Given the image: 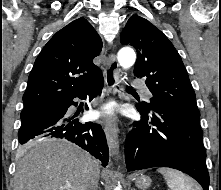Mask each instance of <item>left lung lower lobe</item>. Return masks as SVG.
Segmentation results:
<instances>
[{
	"label": "left lung lower lobe",
	"instance_id": "0a47b994",
	"mask_svg": "<svg viewBox=\"0 0 221 190\" xmlns=\"http://www.w3.org/2000/svg\"><path fill=\"white\" fill-rule=\"evenodd\" d=\"M141 120L125 140V162L128 171L151 167L180 170L209 189V173L199 122L175 112L146 110L137 104Z\"/></svg>",
	"mask_w": 221,
	"mask_h": 190
}]
</instances>
